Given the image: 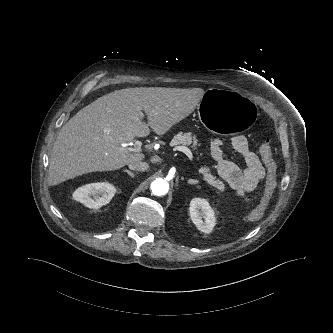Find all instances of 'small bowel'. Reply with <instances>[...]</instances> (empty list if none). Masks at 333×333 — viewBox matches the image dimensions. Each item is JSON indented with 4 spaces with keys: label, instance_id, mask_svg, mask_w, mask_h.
Wrapping results in <instances>:
<instances>
[{
    "label": "small bowel",
    "instance_id": "small-bowel-1",
    "mask_svg": "<svg viewBox=\"0 0 333 333\" xmlns=\"http://www.w3.org/2000/svg\"><path fill=\"white\" fill-rule=\"evenodd\" d=\"M230 145L242 157L243 169L226 157L225 143L220 139L212 143L211 156L216 163L220 177L231 187L236 196L245 197L253 193L268 176L265 170L266 163L250 150L244 136L232 137Z\"/></svg>",
    "mask_w": 333,
    "mask_h": 333
}]
</instances>
